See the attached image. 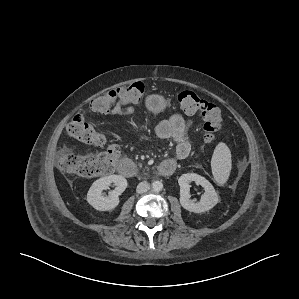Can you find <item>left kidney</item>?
Masks as SVG:
<instances>
[{"label":"left kidney","mask_w":299,"mask_h":299,"mask_svg":"<svg viewBox=\"0 0 299 299\" xmlns=\"http://www.w3.org/2000/svg\"><path fill=\"white\" fill-rule=\"evenodd\" d=\"M195 182L197 185H201L205 192L201 196L199 202L194 203L191 200L190 183ZM178 183L180 186V204L182 207L190 212L203 213L212 209L219 201L218 195L213 185L204 177L196 173H186L179 177Z\"/></svg>","instance_id":"1"}]
</instances>
